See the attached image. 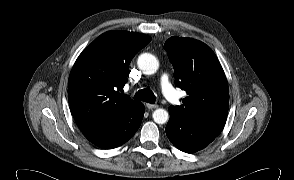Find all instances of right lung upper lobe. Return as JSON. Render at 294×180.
Wrapping results in <instances>:
<instances>
[{
    "label": "right lung upper lobe",
    "instance_id": "1",
    "mask_svg": "<svg viewBox=\"0 0 294 180\" xmlns=\"http://www.w3.org/2000/svg\"><path fill=\"white\" fill-rule=\"evenodd\" d=\"M150 41L144 34L109 31L79 55L68 80V100L79 128L109 123L136 102L119 91L132 58Z\"/></svg>",
    "mask_w": 294,
    "mask_h": 180
}]
</instances>
